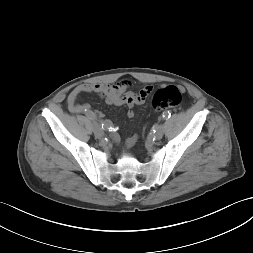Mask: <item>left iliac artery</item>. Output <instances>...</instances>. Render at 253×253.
Instances as JSON below:
<instances>
[{
	"label": "left iliac artery",
	"mask_w": 253,
	"mask_h": 253,
	"mask_svg": "<svg viewBox=\"0 0 253 253\" xmlns=\"http://www.w3.org/2000/svg\"><path fill=\"white\" fill-rule=\"evenodd\" d=\"M162 116H163L164 119H167V118H170L171 113L169 111H165V112H163Z\"/></svg>",
	"instance_id": "44dca946"
}]
</instances>
